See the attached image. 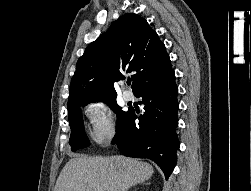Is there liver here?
<instances>
[{
    "label": "liver",
    "mask_w": 251,
    "mask_h": 191,
    "mask_svg": "<svg viewBox=\"0 0 251 191\" xmlns=\"http://www.w3.org/2000/svg\"><path fill=\"white\" fill-rule=\"evenodd\" d=\"M154 169L146 161L125 155L111 157H86L71 155L64 165L54 191H127L130 185L149 179Z\"/></svg>",
    "instance_id": "obj_1"
}]
</instances>
